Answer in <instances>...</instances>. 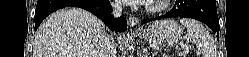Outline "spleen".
<instances>
[{
  "mask_svg": "<svg viewBox=\"0 0 249 57\" xmlns=\"http://www.w3.org/2000/svg\"><path fill=\"white\" fill-rule=\"evenodd\" d=\"M180 23L186 27L188 38L203 52L204 57H216L213 37L200 22L194 19L182 18Z\"/></svg>",
  "mask_w": 249,
  "mask_h": 57,
  "instance_id": "3e777b00",
  "label": "spleen"
}]
</instances>
